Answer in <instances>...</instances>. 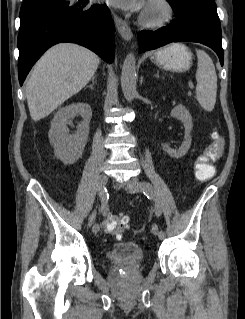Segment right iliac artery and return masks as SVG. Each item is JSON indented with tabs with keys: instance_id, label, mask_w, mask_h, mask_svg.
I'll use <instances>...</instances> for the list:
<instances>
[{
	"instance_id": "obj_1",
	"label": "right iliac artery",
	"mask_w": 245,
	"mask_h": 319,
	"mask_svg": "<svg viewBox=\"0 0 245 319\" xmlns=\"http://www.w3.org/2000/svg\"><path fill=\"white\" fill-rule=\"evenodd\" d=\"M108 198H109V196H108L107 190L105 188V195L103 196V198L101 200V211L103 212V214H106V212L108 210V204H107ZM93 231L98 232L99 225H96V227L93 228Z\"/></svg>"
}]
</instances>
